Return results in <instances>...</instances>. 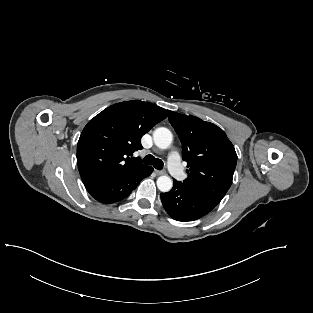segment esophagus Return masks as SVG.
Here are the masks:
<instances>
[{
	"label": "esophagus",
	"instance_id": "obj_1",
	"mask_svg": "<svg viewBox=\"0 0 313 313\" xmlns=\"http://www.w3.org/2000/svg\"><path fill=\"white\" fill-rule=\"evenodd\" d=\"M155 173L157 175H164V174H166V171L165 170H155Z\"/></svg>",
	"mask_w": 313,
	"mask_h": 313
}]
</instances>
